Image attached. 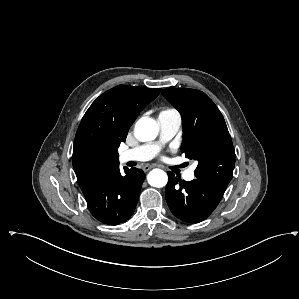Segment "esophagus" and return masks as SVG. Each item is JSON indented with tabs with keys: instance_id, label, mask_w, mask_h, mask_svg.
I'll list each match as a JSON object with an SVG mask.
<instances>
[{
	"instance_id": "esophagus-1",
	"label": "esophagus",
	"mask_w": 299,
	"mask_h": 299,
	"mask_svg": "<svg viewBox=\"0 0 299 299\" xmlns=\"http://www.w3.org/2000/svg\"><path fill=\"white\" fill-rule=\"evenodd\" d=\"M152 168H153V166H151V165H145V166L142 167V169H143L144 172H148Z\"/></svg>"
}]
</instances>
